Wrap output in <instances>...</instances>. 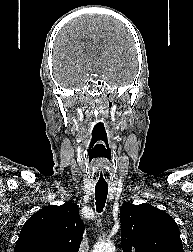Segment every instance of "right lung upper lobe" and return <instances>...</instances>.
Listing matches in <instances>:
<instances>
[{"label":"right lung upper lobe","instance_id":"1","mask_svg":"<svg viewBox=\"0 0 193 252\" xmlns=\"http://www.w3.org/2000/svg\"><path fill=\"white\" fill-rule=\"evenodd\" d=\"M83 231L76 203L46 206L26 221L14 252H78Z\"/></svg>","mask_w":193,"mask_h":252}]
</instances>
